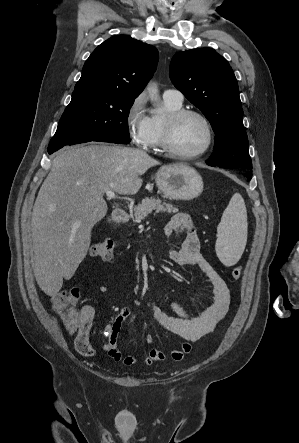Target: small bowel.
<instances>
[{
	"label": "small bowel",
	"instance_id": "1",
	"mask_svg": "<svg viewBox=\"0 0 299 443\" xmlns=\"http://www.w3.org/2000/svg\"><path fill=\"white\" fill-rule=\"evenodd\" d=\"M164 234L167 238H171L175 234L182 237L181 245L168 251V257L172 262L180 266H197L208 277L213 290L212 302L198 315L187 312L178 303L172 304V314H168L154 305H150L143 311L161 330L175 334L185 340L180 349L171 352L172 359L179 361L191 351L190 342H196L211 333L216 324L224 317L230 304V291L224 279L202 254L196 230L187 214L179 213L173 216L165 225ZM81 315L88 326L86 331L77 335L75 346L82 355L93 356L95 348L90 341V330L95 311L90 306H84L81 309ZM134 319L135 315L131 313L130 309L123 307L115 319L105 326L103 331L107 340L102 345L101 350L113 360L122 361L127 366L136 364L137 359L133 355L123 356L117 347V340L125 323L130 324ZM145 339L148 344L152 345L154 343L150 334H146ZM164 359L163 352L152 349L143 359V363L152 365Z\"/></svg>",
	"mask_w": 299,
	"mask_h": 443
}]
</instances>
